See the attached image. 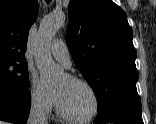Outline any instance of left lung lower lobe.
Wrapping results in <instances>:
<instances>
[{"label":"left lung lower lobe","instance_id":"0a47b994","mask_svg":"<svg viewBox=\"0 0 156 124\" xmlns=\"http://www.w3.org/2000/svg\"><path fill=\"white\" fill-rule=\"evenodd\" d=\"M95 123L143 124L141 113L113 110L97 116Z\"/></svg>","mask_w":156,"mask_h":124}]
</instances>
